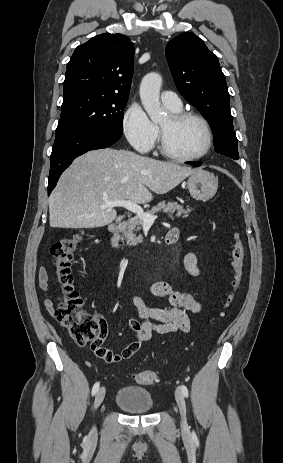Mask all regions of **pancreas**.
<instances>
[{
	"label": "pancreas",
	"instance_id": "cf45deb5",
	"mask_svg": "<svg viewBox=\"0 0 283 463\" xmlns=\"http://www.w3.org/2000/svg\"><path fill=\"white\" fill-rule=\"evenodd\" d=\"M163 211L165 213H169L170 218L174 217H181L186 218L189 216V213L192 211L191 208L187 207L186 209L182 206L177 204L176 202H165L162 201L154 206L151 210L147 211V213L154 215L157 212ZM175 214V215H173ZM143 224V220L138 216H135L128 220V222H124L121 227L120 231L122 233V240H125L127 244L130 246H135L138 243H141L143 240L142 235L136 236V232L141 230V225Z\"/></svg>",
	"mask_w": 283,
	"mask_h": 463
}]
</instances>
